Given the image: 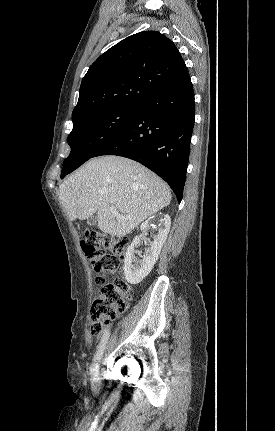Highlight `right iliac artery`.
Returning <instances> with one entry per match:
<instances>
[{
    "label": "right iliac artery",
    "mask_w": 275,
    "mask_h": 431,
    "mask_svg": "<svg viewBox=\"0 0 275 431\" xmlns=\"http://www.w3.org/2000/svg\"><path fill=\"white\" fill-rule=\"evenodd\" d=\"M109 334H110L109 329H106L104 331V333H103L101 342L99 343V345L97 347L96 354L94 355L93 362H92L91 368H90L93 380H97L98 379V375H99V362H100V359L102 357L105 345H106V343L108 341Z\"/></svg>",
    "instance_id": "1"
}]
</instances>
